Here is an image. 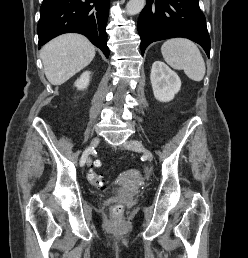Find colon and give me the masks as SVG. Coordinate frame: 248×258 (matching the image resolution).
Returning <instances> with one entry per match:
<instances>
[{"label":"colon","mask_w":248,"mask_h":258,"mask_svg":"<svg viewBox=\"0 0 248 258\" xmlns=\"http://www.w3.org/2000/svg\"><path fill=\"white\" fill-rule=\"evenodd\" d=\"M86 180H89L97 188H103L105 186V181L103 178L93 171H91L89 174H86ZM111 210L115 216H119L122 214L123 207L120 204H113L111 206Z\"/></svg>","instance_id":"1"}]
</instances>
